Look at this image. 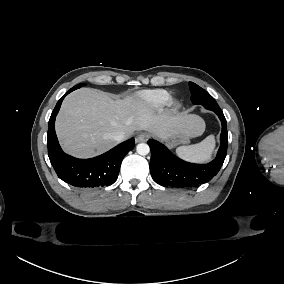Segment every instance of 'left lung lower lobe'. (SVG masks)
<instances>
[{
  "label": "left lung lower lobe",
  "mask_w": 284,
  "mask_h": 284,
  "mask_svg": "<svg viewBox=\"0 0 284 284\" xmlns=\"http://www.w3.org/2000/svg\"><path fill=\"white\" fill-rule=\"evenodd\" d=\"M201 105L215 112L222 123L221 144L216 158L203 165L188 163L173 155L160 142L149 140L148 145L151 150L150 173L156 183L165 187H198L211 180L221 169L228 145L226 119L216 102H206Z\"/></svg>",
  "instance_id": "left-lung-lower-lobe-1"
}]
</instances>
